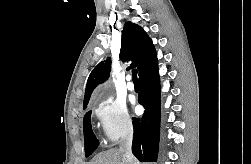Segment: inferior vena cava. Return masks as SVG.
Instances as JSON below:
<instances>
[{
	"label": "inferior vena cava",
	"mask_w": 251,
	"mask_h": 164,
	"mask_svg": "<svg viewBox=\"0 0 251 164\" xmlns=\"http://www.w3.org/2000/svg\"><path fill=\"white\" fill-rule=\"evenodd\" d=\"M132 139H133V128L130 127L126 132L125 136L123 137L120 147V149L123 151V157L126 160L127 164H136V161L131 151Z\"/></svg>",
	"instance_id": "1"
}]
</instances>
